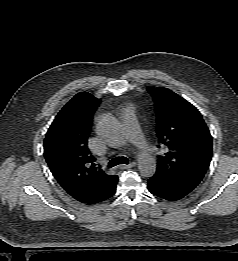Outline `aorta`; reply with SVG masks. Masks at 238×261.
<instances>
[{
	"label": "aorta",
	"mask_w": 238,
	"mask_h": 261,
	"mask_svg": "<svg viewBox=\"0 0 238 261\" xmlns=\"http://www.w3.org/2000/svg\"><path fill=\"white\" fill-rule=\"evenodd\" d=\"M101 135L111 142H119L122 139V130L113 116H105L99 125ZM138 169L141 176L152 177L156 171V161L148 153H139L137 156Z\"/></svg>",
	"instance_id": "762f6f07"
}]
</instances>
